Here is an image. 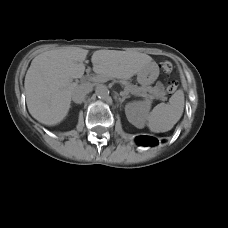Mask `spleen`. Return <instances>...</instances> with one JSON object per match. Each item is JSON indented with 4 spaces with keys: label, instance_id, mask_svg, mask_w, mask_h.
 Returning a JSON list of instances; mask_svg holds the SVG:
<instances>
[{
    "label": "spleen",
    "instance_id": "spleen-1",
    "mask_svg": "<svg viewBox=\"0 0 228 228\" xmlns=\"http://www.w3.org/2000/svg\"><path fill=\"white\" fill-rule=\"evenodd\" d=\"M184 102V92L179 89L168 103L156 105L146 118L148 128L155 133L171 130L183 114Z\"/></svg>",
    "mask_w": 228,
    "mask_h": 228
}]
</instances>
